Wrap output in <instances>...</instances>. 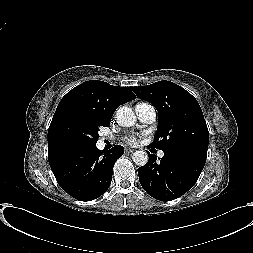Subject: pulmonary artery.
I'll return each instance as SVG.
<instances>
[{"instance_id": "pulmonary-artery-1", "label": "pulmonary artery", "mask_w": 253, "mask_h": 253, "mask_svg": "<svg viewBox=\"0 0 253 253\" xmlns=\"http://www.w3.org/2000/svg\"><path fill=\"white\" fill-rule=\"evenodd\" d=\"M135 112L138 117V119L145 124H151L156 120V109L155 107L150 103H138L135 106ZM159 157H163L164 153L160 151L158 153Z\"/></svg>"}]
</instances>
